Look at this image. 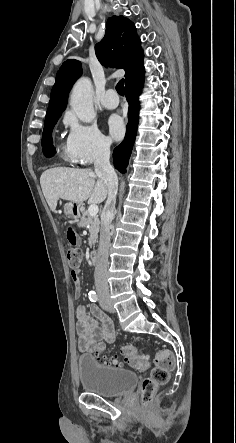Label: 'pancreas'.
<instances>
[{"mask_svg": "<svg viewBox=\"0 0 236 443\" xmlns=\"http://www.w3.org/2000/svg\"><path fill=\"white\" fill-rule=\"evenodd\" d=\"M100 221L98 216H90L88 211H84L80 218L79 225L89 230V246L92 248L97 242Z\"/></svg>", "mask_w": 236, "mask_h": 443, "instance_id": "1", "label": "pancreas"}]
</instances>
